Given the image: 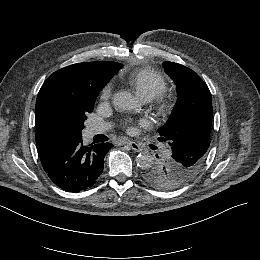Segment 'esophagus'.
<instances>
[{"label":"esophagus","mask_w":260,"mask_h":260,"mask_svg":"<svg viewBox=\"0 0 260 260\" xmlns=\"http://www.w3.org/2000/svg\"><path fill=\"white\" fill-rule=\"evenodd\" d=\"M128 145L130 146V148L136 152H141L142 151V148L136 143V142H133V141H130L128 142Z\"/></svg>","instance_id":"esophagus-1"}]
</instances>
